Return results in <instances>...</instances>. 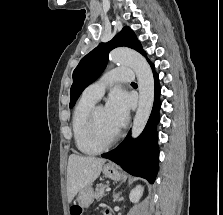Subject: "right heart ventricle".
Instances as JSON below:
<instances>
[{"mask_svg":"<svg viewBox=\"0 0 223 215\" xmlns=\"http://www.w3.org/2000/svg\"><path fill=\"white\" fill-rule=\"evenodd\" d=\"M96 101L82 96L77 103L72 117V135L77 150L86 155H97V150L89 140L88 122Z\"/></svg>","mask_w":223,"mask_h":215,"instance_id":"right-heart-ventricle-1","label":"right heart ventricle"}]
</instances>
